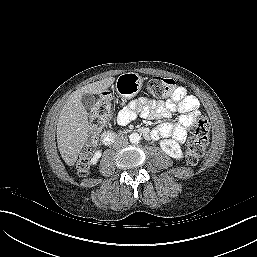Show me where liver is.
Instances as JSON below:
<instances>
[{
  "instance_id": "liver-1",
  "label": "liver",
  "mask_w": 257,
  "mask_h": 257,
  "mask_svg": "<svg viewBox=\"0 0 257 257\" xmlns=\"http://www.w3.org/2000/svg\"><path fill=\"white\" fill-rule=\"evenodd\" d=\"M114 81V77H108L83 86L73 92L62 108L57 123V144L62 159L69 166H73L78 159L90 130L88 113L81 101L83 94H100Z\"/></svg>"
}]
</instances>
